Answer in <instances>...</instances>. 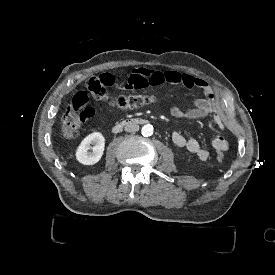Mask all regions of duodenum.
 <instances>
[{
	"label": "duodenum",
	"mask_w": 275,
	"mask_h": 275,
	"mask_svg": "<svg viewBox=\"0 0 275 275\" xmlns=\"http://www.w3.org/2000/svg\"><path fill=\"white\" fill-rule=\"evenodd\" d=\"M147 123V119L143 117H130V118H125L118 123H116L113 127L114 131H117L125 126L129 125H143Z\"/></svg>",
	"instance_id": "duodenum-1"
}]
</instances>
